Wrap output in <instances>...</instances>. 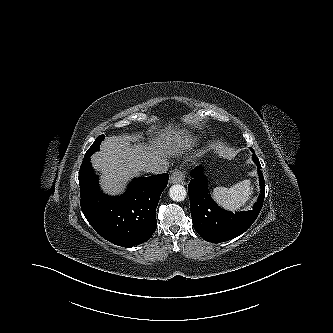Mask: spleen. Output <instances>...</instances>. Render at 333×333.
<instances>
[{"instance_id": "3e777b00", "label": "spleen", "mask_w": 333, "mask_h": 333, "mask_svg": "<svg viewBox=\"0 0 333 333\" xmlns=\"http://www.w3.org/2000/svg\"><path fill=\"white\" fill-rule=\"evenodd\" d=\"M252 194L250 180H243L231 186L216 187L212 192L213 198L223 208L236 211L246 204Z\"/></svg>"}]
</instances>
